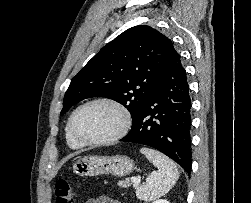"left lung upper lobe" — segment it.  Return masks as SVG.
I'll use <instances>...</instances> for the list:
<instances>
[{
    "mask_svg": "<svg viewBox=\"0 0 251 203\" xmlns=\"http://www.w3.org/2000/svg\"><path fill=\"white\" fill-rule=\"evenodd\" d=\"M173 52L171 40L150 26L124 31L72 79L61 115L86 98L106 97L129 110L133 125Z\"/></svg>",
    "mask_w": 251,
    "mask_h": 203,
    "instance_id": "5c2ea615",
    "label": "left lung upper lobe"
}]
</instances>
